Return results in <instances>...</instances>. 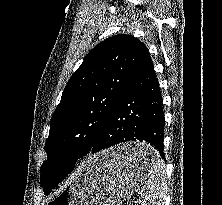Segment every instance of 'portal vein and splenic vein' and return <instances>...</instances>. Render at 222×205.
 <instances>
[{"instance_id": "1", "label": "portal vein and splenic vein", "mask_w": 222, "mask_h": 205, "mask_svg": "<svg viewBox=\"0 0 222 205\" xmlns=\"http://www.w3.org/2000/svg\"><path fill=\"white\" fill-rule=\"evenodd\" d=\"M140 201H136L135 203H139Z\"/></svg>"}]
</instances>
